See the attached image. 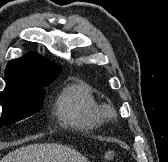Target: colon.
Here are the masks:
<instances>
[{
  "mask_svg": "<svg viewBox=\"0 0 168 162\" xmlns=\"http://www.w3.org/2000/svg\"><path fill=\"white\" fill-rule=\"evenodd\" d=\"M106 161H113L116 159V153L114 151H107L104 155Z\"/></svg>",
  "mask_w": 168,
  "mask_h": 162,
  "instance_id": "colon-1",
  "label": "colon"
}]
</instances>
